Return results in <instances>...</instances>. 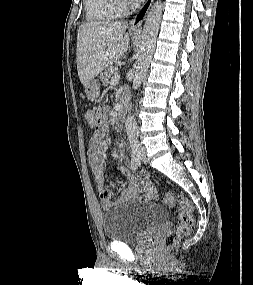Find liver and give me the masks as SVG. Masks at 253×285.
<instances>
[{
	"mask_svg": "<svg viewBox=\"0 0 253 285\" xmlns=\"http://www.w3.org/2000/svg\"><path fill=\"white\" fill-rule=\"evenodd\" d=\"M126 28L124 21L89 22L79 27L77 71L84 87L127 51L130 38Z\"/></svg>",
	"mask_w": 253,
	"mask_h": 285,
	"instance_id": "1",
	"label": "liver"
}]
</instances>
